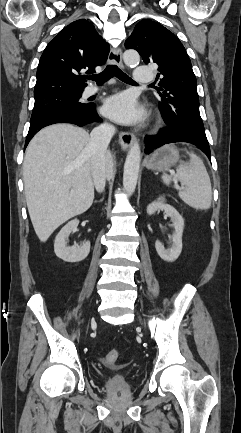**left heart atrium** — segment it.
<instances>
[{"mask_svg": "<svg viewBox=\"0 0 241 433\" xmlns=\"http://www.w3.org/2000/svg\"><path fill=\"white\" fill-rule=\"evenodd\" d=\"M105 114L120 123L137 121L141 112L133 96L121 93L110 97L104 105Z\"/></svg>", "mask_w": 241, "mask_h": 433, "instance_id": "39dd6f15", "label": "left heart atrium"}]
</instances>
